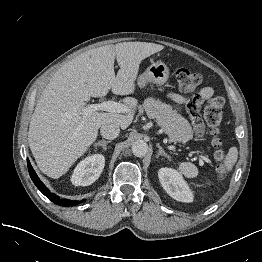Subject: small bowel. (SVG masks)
<instances>
[{
    "label": "small bowel",
    "instance_id": "1",
    "mask_svg": "<svg viewBox=\"0 0 262 262\" xmlns=\"http://www.w3.org/2000/svg\"><path fill=\"white\" fill-rule=\"evenodd\" d=\"M214 94V90L210 86H205L200 91L197 92V94L191 99V102L194 103L195 105L202 104L206 99H209L212 97ZM169 97L174 100L177 103H188L190 102L189 99H186L178 94L171 93ZM196 128L200 126L199 121H196Z\"/></svg>",
    "mask_w": 262,
    "mask_h": 262
}]
</instances>
